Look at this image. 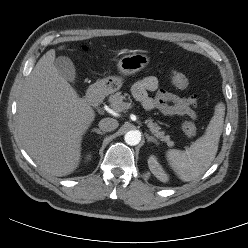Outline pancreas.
<instances>
[{"instance_id":"pancreas-1","label":"pancreas","mask_w":248,"mask_h":248,"mask_svg":"<svg viewBox=\"0 0 248 248\" xmlns=\"http://www.w3.org/2000/svg\"><path fill=\"white\" fill-rule=\"evenodd\" d=\"M127 94H122L121 92H117L109 97V103L111 108L116 111H123L125 109L123 100L126 98ZM147 126L149 127L152 134H154L161 141L166 142L169 146L173 145V142L170 140L169 135H165L164 131H161L160 126L157 123H154L152 119L147 120Z\"/></svg>"}]
</instances>
